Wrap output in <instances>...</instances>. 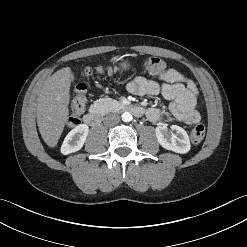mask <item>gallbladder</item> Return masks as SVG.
I'll use <instances>...</instances> for the list:
<instances>
[{
  "mask_svg": "<svg viewBox=\"0 0 247 247\" xmlns=\"http://www.w3.org/2000/svg\"><path fill=\"white\" fill-rule=\"evenodd\" d=\"M70 80H71V81H74V80H75L74 75H71V76H70Z\"/></svg>",
  "mask_w": 247,
  "mask_h": 247,
  "instance_id": "bac80fb5",
  "label": "gallbladder"
}]
</instances>
